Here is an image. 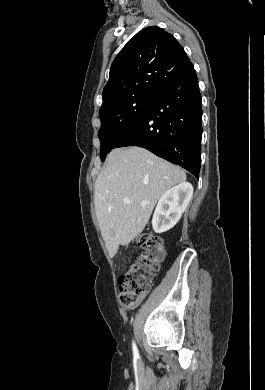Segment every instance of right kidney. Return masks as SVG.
Here are the masks:
<instances>
[{
	"mask_svg": "<svg viewBox=\"0 0 265 390\" xmlns=\"http://www.w3.org/2000/svg\"><path fill=\"white\" fill-rule=\"evenodd\" d=\"M193 195V186L182 182L167 190L159 199L155 208L152 226L156 233L173 228L180 220Z\"/></svg>",
	"mask_w": 265,
	"mask_h": 390,
	"instance_id": "ca27d5eb",
	"label": "right kidney"
}]
</instances>
